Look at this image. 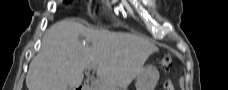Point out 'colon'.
<instances>
[{
	"instance_id": "obj_1",
	"label": "colon",
	"mask_w": 228,
	"mask_h": 90,
	"mask_svg": "<svg viewBox=\"0 0 228 90\" xmlns=\"http://www.w3.org/2000/svg\"><path fill=\"white\" fill-rule=\"evenodd\" d=\"M172 64V57L171 55H166L162 58V61H161V65L164 67V68H168L170 67ZM163 89L164 90H174V85L172 83L171 80H166L164 82V85H163Z\"/></svg>"
}]
</instances>
